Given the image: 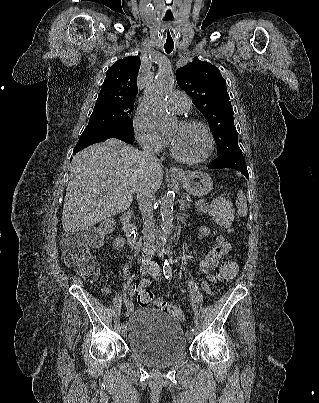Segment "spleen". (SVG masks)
Returning a JSON list of instances; mask_svg holds the SVG:
<instances>
[{"label": "spleen", "instance_id": "spleen-1", "mask_svg": "<svg viewBox=\"0 0 319 403\" xmlns=\"http://www.w3.org/2000/svg\"><path fill=\"white\" fill-rule=\"evenodd\" d=\"M236 206L238 208V215L241 217L247 216L248 206L245 194L242 190L238 191L237 199H236Z\"/></svg>", "mask_w": 319, "mask_h": 403}]
</instances>
